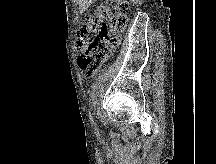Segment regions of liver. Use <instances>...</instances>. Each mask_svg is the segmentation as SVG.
Segmentation results:
<instances>
[{"label":"liver","mask_w":216,"mask_h":164,"mask_svg":"<svg viewBox=\"0 0 216 164\" xmlns=\"http://www.w3.org/2000/svg\"><path fill=\"white\" fill-rule=\"evenodd\" d=\"M80 1L86 3V4L83 5V6H84V9H85L86 7H88L89 4H91V3H92L93 1H95V0H80Z\"/></svg>","instance_id":"obj_1"}]
</instances>
